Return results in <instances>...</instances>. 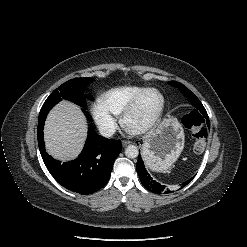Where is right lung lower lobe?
<instances>
[{
	"label": "right lung lower lobe",
	"mask_w": 247,
	"mask_h": 247,
	"mask_svg": "<svg viewBox=\"0 0 247 247\" xmlns=\"http://www.w3.org/2000/svg\"><path fill=\"white\" fill-rule=\"evenodd\" d=\"M59 101L46 100L39 113L37 138L42 159L60 185L79 194H92L108 182L114 161L122 150L121 142L104 138L89 128L85 146L76 160L61 163L53 159L44 148L43 128L48 112ZM84 113L92 121L90 114Z\"/></svg>",
	"instance_id": "98d812e1"
}]
</instances>
